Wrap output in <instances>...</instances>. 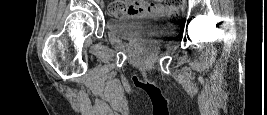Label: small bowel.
Returning a JSON list of instances; mask_svg holds the SVG:
<instances>
[{
  "mask_svg": "<svg viewBox=\"0 0 267 115\" xmlns=\"http://www.w3.org/2000/svg\"><path fill=\"white\" fill-rule=\"evenodd\" d=\"M131 12L135 14H144V13H159L165 14L168 11L167 6L161 1L156 2H145V1H136L130 4Z\"/></svg>",
  "mask_w": 267,
  "mask_h": 115,
  "instance_id": "obj_1",
  "label": "small bowel"
}]
</instances>
